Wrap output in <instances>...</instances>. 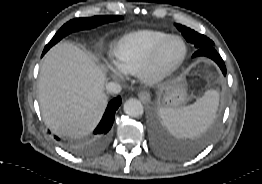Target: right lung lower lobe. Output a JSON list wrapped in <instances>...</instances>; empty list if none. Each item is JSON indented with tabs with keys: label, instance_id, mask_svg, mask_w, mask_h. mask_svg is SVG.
Here are the masks:
<instances>
[{
	"label": "right lung lower lobe",
	"instance_id": "obj_1",
	"mask_svg": "<svg viewBox=\"0 0 262 184\" xmlns=\"http://www.w3.org/2000/svg\"><path fill=\"white\" fill-rule=\"evenodd\" d=\"M120 104V97H116L109 102L102 120L100 121L97 128L94 130V137L89 146V150H99L108 143L110 137V129L114 122V115ZM55 138L59 140L56 136ZM72 149L74 148L72 147Z\"/></svg>",
	"mask_w": 262,
	"mask_h": 184
}]
</instances>
